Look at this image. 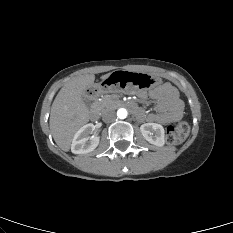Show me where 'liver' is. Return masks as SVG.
Instances as JSON below:
<instances>
[{"instance_id":"obj_1","label":"liver","mask_w":233,"mask_h":233,"mask_svg":"<svg viewBox=\"0 0 233 233\" xmlns=\"http://www.w3.org/2000/svg\"><path fill=\"white\" fill-rule=\"evenodd\" d=\"M110 73L101 76L106 80ZM95 75L74 77L60 89L51 106L50 130L56 144L69 151L73 136L89 121V109L83 101L85 91L94 85Z\"/></svg>"}]
</instances>
